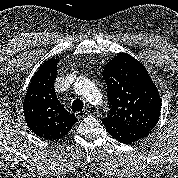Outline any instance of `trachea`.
Returning <instances> with one entry per match:
<instances>
[{
  "label": "trachea",
  "instance_id": "3493384b",
  "mask_svg": "<svg viewBox=\"0 0 178 178\" xmlns=\"http://www.w3.org/2000/svg\"><path fill=\"white\" fill-rule=\"evenodd\" d=\"M83 107H84V104L79 99L74 100L73 103H72V111L73 112L82 111Z\"/></svg>",
  "mask_w": 178,
  "mask_h": 178
}]
</instances>
